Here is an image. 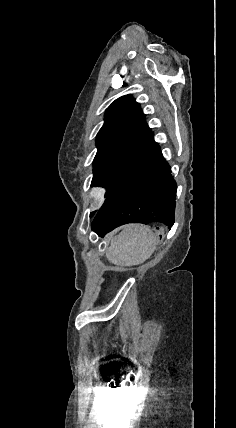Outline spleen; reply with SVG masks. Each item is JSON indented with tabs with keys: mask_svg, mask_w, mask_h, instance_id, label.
<instances>
[{
	"mask_svg": "<svg viewBox=\"0 0 236 428\" xmlns=\"http://www.w3.org/2000/svg\"><path fill=\"white\" fill-rule=\"evenodd\" d=\"M156 236L150 226L128 224L119 236L111 240L106 256L116 266H138L150 258L156 246Z\"/></svg>",
	"mask_w": 236,
	"mask_h": 428,
	"instance_id": "3e777b00",
	"label": "spleen"
}]
</instances>
